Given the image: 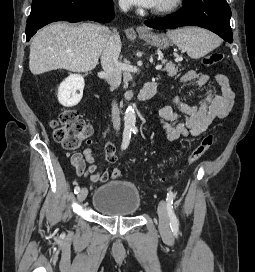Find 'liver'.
Segmentation results:
<instances>
[{
  "label": "liver",
  "instance_id": "obj_1",
  "mask_svg": "<svg viewBox=\"0 0 255 272\" xmlns=\"http://www.w3.org/2000/svg\"><path fill=\"white\" fill-rule=\"evenodd\" d=\"M109 36V28L99 24L52 23L34 36L29 69L33 75L57 69L88 72L96 67Z\"/></svg>",
  "mask_w": 255,
  "mask_h": 272
}]
</instances>
